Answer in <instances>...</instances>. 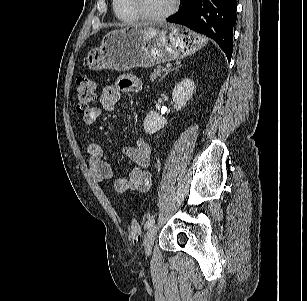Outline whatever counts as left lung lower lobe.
Segmentation results:
<instances>
[{
	"instance_id": "1",
	"label": "left lung lower lobe",
	"mask_w": 307,
	"mask_h": 301,
	"mask_svg": "<svg viewBox=\"0 0 307 301\" xmlns=\"http://www.w3.org/2000/svg\"><path fill=\"white\" fill-rule=\"evenodd\" d=\"M180 11L167 21L185 25L215 40L230 61L236 0H181Z\"/></svg>"
}]
</instances>
